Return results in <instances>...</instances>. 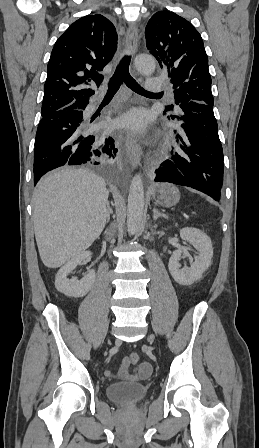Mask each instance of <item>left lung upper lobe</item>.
Listing matches in <instances>:
<instances>
[{"mask_svg": "<svg viewBox=\"0 0 259 448\" xmlns=\"http://www.w3.org/2000/svg\"><path fill=\"white\" fill-rule=\"evenodd\" d=\"M145 35L150 53L173 84L175 105L165 112L176 113L191 101L213 105L208 57L193 25L173 12L159 11L148 21Z\"/></svg>", "mask_w": 259, "mask_h": 448, "instance_id": "obj_1", "label": "left lung upper lobe"}]
</instances>
